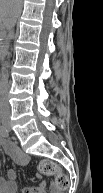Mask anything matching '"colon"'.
<instances>
[{"mask_svg": "<svg viewBox=\"0 0 103 193\" xmlns=\"http://www.w3.org/2000/svg\"><path fill=\"white\" fill-rule=\"evenodd\" d=\"M39 170L43 175L53 176L55 184L59 189H67L69 186V178L60 167L49 159H43L39 163Z\"/></svg>", "mask_w": 103, "mask_h": 193, "instance_id": "obj_1", "label": "colon"}]
</instances>
